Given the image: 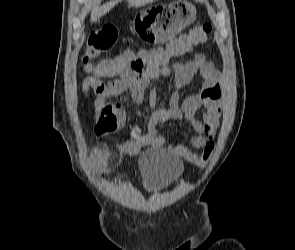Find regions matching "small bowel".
Here are the masks:
<instances>
[{"mask_svg": "<svg viewBox=\"0 0 295 250\" xmlns=\"http://www.w3.org/2000/svg\"><path fill=\"white\" fill-rule=\"evenodd\" d=\"M189 50H178L174 42H170L167 48L154 50H125L119 53L114 61L115 71L107 76L104 81L100 76L91 75L84 79L82 88L86 95L93 94L95 109L106 103L108 98L118 97L129 92L136 103H142L145 98V90L153 80H159L174 72V84L176 90L172 92L166 107L157 108V90L153 87L149 94V106L151 113L145 130L142 132L135 125L132 138L118 146L121 153L136 155L145 146L162 147L166 144V138L159 134V124L184 118L195 134L190 144L195 149L203 148L215 138L220 126L222 110V98L220 87V74L213 63L198 53L186 62L176 61L172 68L170 62ZM199 73L203 83L197 93L186 96L180 100L177 89L188 84ZM203 109L200 118L196 117L198 110ZM170 149L178 155L189 160L194 153L183 145L170 146ZM107 153L97 150L95 163L102 168L106 164Z\"/></svg>", "mask_w": 295, "mask_h": 250, "instance_id": "obj_1", "label": "small bowel"}]
</instances>
